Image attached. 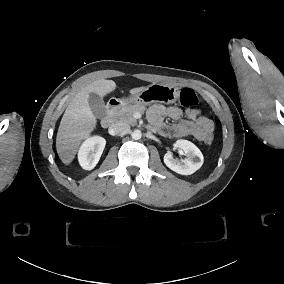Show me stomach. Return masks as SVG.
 <instances>
[{
    "label": "stomach",
    "mask_w": 284,
    "mask_h": 284,
    "mask_svg": "<svg viewBox=\"0 0 284 284\" xmlns=\"http://www.w3.org/2000/svg\"><path fill=\"white\" fill-rule=\"evenodd\" d=\"M179 97V89L174 86L153 83L135 95L121 99L123 104L150 105L152 103L172 104Z\"/></svg>",
    "instance_id": "1"
}]
</instances>
